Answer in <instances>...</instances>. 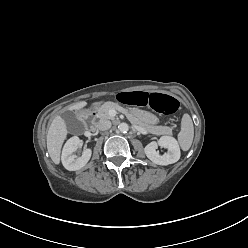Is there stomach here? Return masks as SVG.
<instances>
[{
    "instance_id": "obj_1",
    "label": "stomach",
    "mask_w": 248,
    "mask_h": 248,
    "mask_svg": "<svg viewBox=\"0 0 248 248\" xmlns=\"http://www.w3.org/2000/svg\"><path fill=\"white\" fill-rule=\"evenodd\" d=\"M128 114L131 118H138L139 120L147 123V124H156L158 122V119L155 115H153L152 113L146 112V111H142V110H133L130 109L128 111Z\"/></svg>"
}]
</instances>
